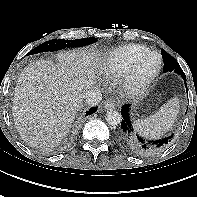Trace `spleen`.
<instances>
[{"instance_id":"spleen-1","label":"spleen","mask_w":197,"mask_h":197,"mask_svg":"<svg viewBox=\"0 0 197 197\" xmlns=\"http://www.w3.org/2000/svg\"><path fill=\"white\" fill-rule=\"evenodd\" d=\"M179 113V99L174 97L162 105L153 115L134 122V128L142 135L159 138L173 126Z\"/></svg>"}]
</instances>
